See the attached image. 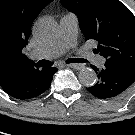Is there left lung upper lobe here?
I'll list each match as a JSON object with an SVG mask.
<instances>
[{"instance_id":"left-lung-upper-lobe-1","label":"left lung upper lobe","mask_w":135,"mask_h":135,"mask_svg":"<svg viewBox=\"0 0 135 135\" xmlns=\"http://www.w3.org/2000/svg\"><path fill=\"white\" fill-rule=\"evenodd\" d=\"M78 17L87 39L99 45L94 51L106 66L135 78V16L118 0H60Z\"/></svg>"}]
</instances>
